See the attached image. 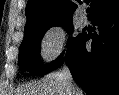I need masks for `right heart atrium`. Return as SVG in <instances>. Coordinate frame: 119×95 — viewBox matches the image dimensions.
<instances>
[{"label": "right heart atrium", "mask_w": 119, "mask_h": 95, "mask_svg": "<svg viewBox=\"0 0 119 95\" xmlns=\"http://www.w3.org/2000/svg\"><path fill=\"white\" fill-rule=\"evenodd\" d=\"M66 32L60 25L48 28L40 41V53L43 60L47 63L55 61L64 48Z\"/></svg>", "instance_id": "obj_1"}]
</instances>
